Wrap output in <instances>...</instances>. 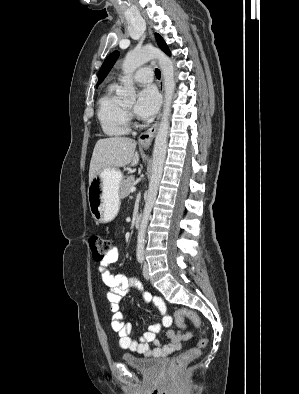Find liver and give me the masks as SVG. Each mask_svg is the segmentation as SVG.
Listing matches in <instances>:
<instances>
[{
	"mask_svg": "<svg viewBox=\"0 0 299 394\" xmlns=\"http://www.w3.org/2000/svg\"><path fill=\"white\" fill-rule=\"evenodd\" d=\"M135 149L136 141L128 137L99 139L90 162L89 182L103 169H118L128 164L137 165L139 154Z\"/></svg>",
	"mask_w": 299,
	"mask_h": 394,
	"instance_id": "1",
	"label": "liver"
}]
</instances>
